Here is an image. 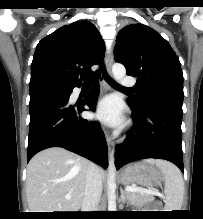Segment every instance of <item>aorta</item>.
Segmentation results:
<instances>
[{"instance_id": "1", "label": "aorta", "mask_w": 203, "mask_h": 219, "mask_svg": "<svg viewBox=\"0 0 203 219\" xmlns=\"http://www.w3.org/2000/svg\"><path fill=\"white\" fill-rule=\"evenodd\" d=\"M112 73L114 76V79L119 81L123 79L126 75V69L125 67L120 63H115L112 67ZM115 160L114 156L111 154L109 159V166H108V194L109 199L114 200L115 199V189H116V183H115Z\"/></svg>"}]
</instances>
